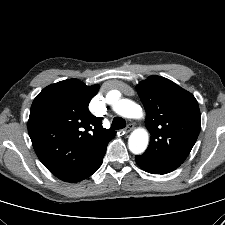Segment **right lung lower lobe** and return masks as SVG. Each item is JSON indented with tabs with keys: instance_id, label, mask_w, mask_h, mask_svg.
<instances>
[{
	"instance_id": "right-lung-lower-lobe-1",
	"label": "right lung lower lobe",
	"mask_w": 225,
	"mask_h": 225,
	"mask_svg": "<svg viewBox=\"0 0 225 225\" xmlns=\"http://www.w3.org/2000/svg\"><path fill=\"white\" fill-rule=\"evenodd\" d=\"M106 147H107V145L105 146L104 149L101 150V153L99 155V160H98L97 164L95 165L94 169L85 178H87L90 175H92L101 166L102 161H103L104 154L106 152ZM85 178H83V179H85ZM83 179H81V180H83ZM77 182H79V181H77Z\"/></svg>"
}]
</instances>
